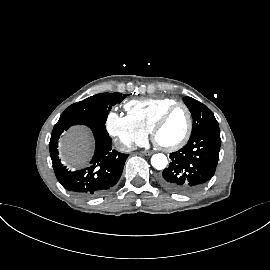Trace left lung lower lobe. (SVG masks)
<instances>
[{
  "label": "left lung lower lobe",
  "instance_id": "0a47b994",
  "mask_svg": "<svg viewBox=\"0 0 270 270\" xmlns=\"http://www.w3.org/2000/svg\"><path fill=\"white\" fill-rule=\"evenodd\" d=\"M220 145V131L206 130L190 137L182 149L170 154L169 167L160 178L162 185L179 194L198 191L215 173Z\"/></svg>",
  "mask_w": 270,
  "mask_h": 270
}]
</instances>
